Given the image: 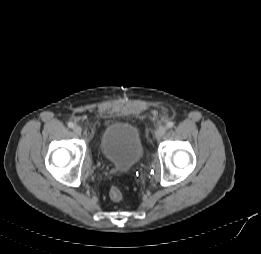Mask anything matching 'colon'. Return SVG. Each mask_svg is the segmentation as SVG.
Here are the masks:
<instances>
[{
  "label": "colon",
  "instance_id": "1",
  "mask_svg": "<svg viewBox=\"0 0 261 254\" xmlns=\"http://www.w3.org/2000/svg\"><path fill=\"white\" fill-rule=\"evenodd\" d=\"M109 197L112 201L119 202L123 199V193L118 187L113 186L109 191Z\"/></svg>",
  "mask_w": 261,
  "mask_h": 254
}]
</instances>
